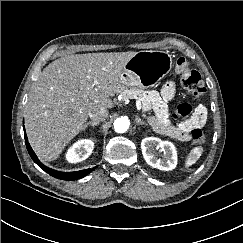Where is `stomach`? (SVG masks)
Listing matches in <instances>:
<instances>
[{
  "label": "stomach",
  "instance_id": "stomach-1",
  "mask_svg": "<svg viewBox=\"0 0 243 243\" xmlns=\"http://www.w3.org/2000/svg\"><path fill=\"white\" fill-rule=\"evenodd\" d=\"M172 67V58L165 51H139L125 64L120 74L122 87H150L166 76Z\"/></svg>",
  "mask_w": 243,
  "mask_h": 243
}]
</instances>
